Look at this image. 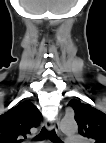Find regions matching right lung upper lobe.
<instances>
[{
  "label": "right lung upper lobe",
  "instance_id": "cb5924a9",
  "mask_svg": "<svg viewBox=\"0 0 106 143\" xmlns=\"http://www.w3.org/2000/svg\"><path fill=\"white\" fill-rule=\"evenodd\" d=\"M40 120L41 113L35 105L28 100L19 103L0 115V143H20Z\"/></svg>",
  "mask_w": 106,
  "mask_h": 143
}]
</instances>
